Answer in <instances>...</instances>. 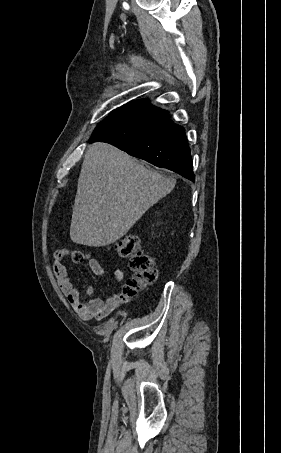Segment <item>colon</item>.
<instances>
[{
  "label": "colon",
  "mask_w": 281,
  "mask_h": 453,
  "mask_svg": "<svg viewBox=\"0 0 281 453\" xmlns=\"http://www.w3.org/2000/svg\"><path fill=\"white\" fill-rule=\"evenodd\" d=\"M105 250L109 254L127 261L128 268L131 271V277L125 285L127 297H133L141 292L148 283L157 279V270L153 266L154 260L141 249L138 238L114 241L108 244ZM71 256L75 262H81L88 258L87 255L75 250L71 252ZM55 257L58 258L59 256L56 255Z\"/></svg>",
  "instance_id": "1"
}]
</instances>
